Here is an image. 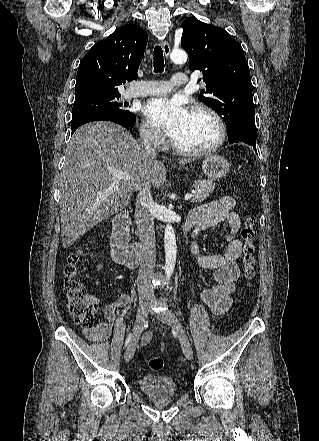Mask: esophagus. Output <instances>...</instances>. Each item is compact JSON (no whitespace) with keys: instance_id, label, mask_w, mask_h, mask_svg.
<instances>
[{"instance_id":"esophagus-1","label":"esophagus","mask_w":319,"mask_h":441,"mask_svg":"<svg viewBox=\"0 0 319 441\" xmlns=\"http://www.w3.org/2000/svg\"><path fill=\"white\" fill-rule=\"evenodd\" d=\"M162 49H163V52H164L166 59H169L171 49H170V45H169L168 41L164 40L162 42Z\"/></svg>"}]
</instances>
